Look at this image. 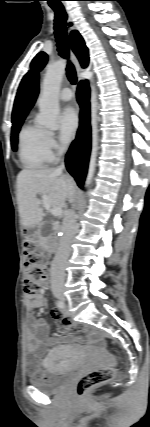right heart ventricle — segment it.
Masks as SVG:
<instances>
[{
    "instance_id": "1",
    "label": "right heart ventricle",
    "mask_w": 150,
    "mask_h": 427,
    "mask_svg": "<svg viewBox=\"0 0 150 427\" xmlns=\"http://www.w3.org/2000/svg\"><path fill=\"white\" fill-rule=\"evenodd\" d=\"M47 132L39 125L29 121L19 131L17 141L18 158L24 168L41 169L50 161L46 147Z\"/></svg>"
}]
</instances>
